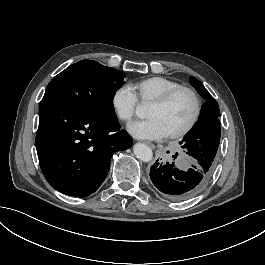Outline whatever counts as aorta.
Here are the masks:
<instances>
[{
  "mask_svg": "<svg viewBox=\"0 0 265 265\" xmlns=\"http://www.w3.org/2000/svg\"><path fill=\"white\" fill-rule=\"evenodd\" d=\"M135 114L137 117L141 119L146 118V113L143 106H137ZM133 152L135 156L143 162H149L150 160H152L153 157L152 149L146 144L136 143L133 146Z\"/></svg>",
  "mask_w": 265,
  "mask_h": 265,
  "instance_id": "762f6f07",
  "label": "aorta"
}]
</instances>
